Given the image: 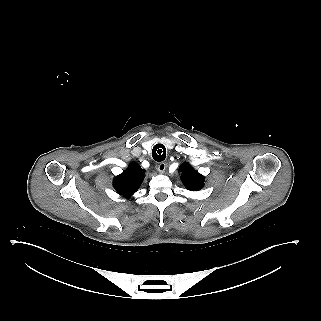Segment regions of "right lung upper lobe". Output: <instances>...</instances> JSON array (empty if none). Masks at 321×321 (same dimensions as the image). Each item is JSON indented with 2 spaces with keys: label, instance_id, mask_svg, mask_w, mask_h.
Here are the masks:
<instances>
[{
  "label": "right lung upper lobe",
  "instance_id": "right-lung-upper-lobe-1",
  "mask_svg": "<svg viewBox=\"0 0 321 321\" xmlns=\"http://www.w3.org/2000/svg\"><path fill=\"white\" fill-rule=\"evenodd\" d=\"M145 175V170L139 164L132 162L128 168L113 180L115 190L125 196H132L141 185Z\"/></svg>",
  "mask_w": 321,
  "mask_h": 321
}]
</instances>
